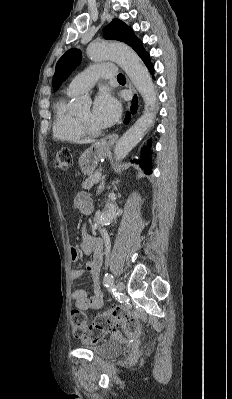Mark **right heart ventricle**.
Returning <instances> with one entry per match:
<instances>
[{"mask_svg": "<svg viewBox=\"0 0 232 399\" xmlns=\"http://www.w3.org/2000/svg\"><path fill=\"white\" fill-rule=\"evenodd\" d=\"M68 102L60 100L53 106L52 134L64 143L76 144L84 140L85 136L76 123V116L68 111Z\"/></svg>", "mask_w": 232, "mask_h": 399, "instance_id": "right-heart-ventricle-1", "label": "right heart ventricle"}]
</instances>
